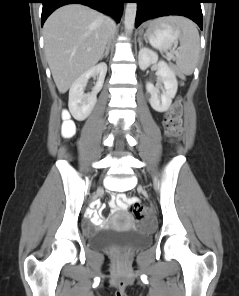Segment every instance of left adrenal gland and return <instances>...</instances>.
I'll list each match as a JSON object with an SVG mask.
<instances>
[{
    "label": "left adrenal gland",
    "instance_id": "obj_1",
    "mask_svg": "<svg viewBox=\"0 0 239 296\" xmlns=\"http://www.w3.org/2000/svg\"><path fill=\"white\" fill-rule=\"evenodd\" d=\"M138 42H139V47H141L142 45L141 37L138 38Z\"/></svg>",
    "mask_w": 239,
    "mask_h": 296
}]
</instances>
